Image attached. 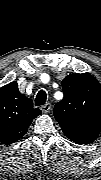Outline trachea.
Here are the masks:
<instances>
[{"mask_svg":"<svg viewBox=\"0 0 101 180\" xmlns=\"http://www.w3.org/2000/svg\"><path fill=\"white\" fill-rule=\"evenodd\" d=\"M47 99V94L44 90H40L37 93L36 99H35V105L36 106H41L44 105Z\"/></svg>","mask_w":101,"mask_h":180,"instance_id":"1","label":"trachea"}]
</instances>
